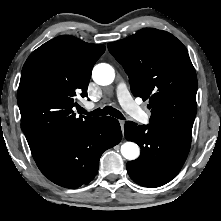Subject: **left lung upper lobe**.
<instances>
[{
    "instance_id": "obj_1",
    "label": "left lung upper lobe",
    "mask_w": 221,
    "mask_h": 221,
    "mask_svg": "<svg viewBox=\"0 0 221 221\" xmlns=\"http://www.w3.org/2000/svg\"><path fill=\"white\" fill-rule=\"evenodd\" d=\"M108 49L129 76L133 95L149 99L150 124L191 139L198 84L185 46L166 31L144 28Z\"/></svg>"
}]
</instances>
